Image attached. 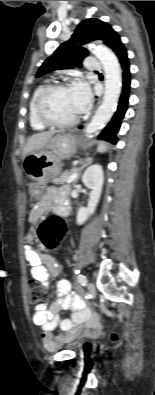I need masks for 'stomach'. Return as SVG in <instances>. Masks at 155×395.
Listing matches in <instances>:
<instances>
[{"label": "stomach", "mask_w": 155, "mask_h": 395, "mask_svg": "<svg viewBox=\"0 0 155 395\" xmlns=\"http://www.w3.org/2000/svg\"><path fill=\"white\" fill-rule=\"evenodd\" d=\"M74 147L71 134H57L42 149L29 153L23 160V168L32 181L33 193L38 197L49 180L59 174L60 160L68 157Z\"/></svg>", "instance_id": "1"}]
</instances>
